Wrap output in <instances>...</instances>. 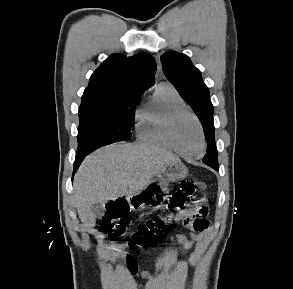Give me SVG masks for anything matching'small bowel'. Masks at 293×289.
Wrapping results in <instances>:
<instances>
[{
  "mask_svg": "<svg viewBox=\"0 0 293 289\" xmlns=\"http://www.w3.org/2000/svg\"><path fill=\"white\" fill-rule=\"evenodd\" d=\"M204 202H205V198H200L198 201V203H204ZM186 219H195L201 225L204 226L203 228L199 230H194L197 232H204L209 226V221L207 220V218H200L197 215L196 208L181 210L175 216L176 221H185ZM200 239H201V236L197 233H189V234L173 233L170 237V241H176L187 249L192 247V244L194 241H198ZM141 275L142 277L147 279V285L145 289H163L164 278H154L151 272L147 270L142 271Z\"/></svg>",
  "mask_w": 293,
  "mask_h": 289,
  "instance_id": "c3829d8e",
  "label": "small bowel"
}]
</instances>
